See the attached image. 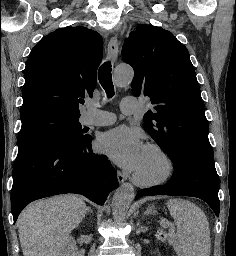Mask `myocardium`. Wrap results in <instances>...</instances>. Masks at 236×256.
Instances as JSON below:
<instances>
[{"mask_svg": "<svg viewBox=\"0 0 236 256\" xmlns=\"http://www.w3.org/2000/svg\"><path fill=\"white\" fill-rule=\"evenodd\" d=\"M115 81L119 83L117 79H115ZM121 85H125V84H121ZM146 148L156 152L161 157L163 161L164 169L159 176L151 179L144 178L140 176L137 172H134L132 174V180L136 185L141 187L152 188V187L161 186L167 183L173 177L176 169L174 160L169 154V152L158 143H153V142L148 143L146 145Z\"/></svg>", "mask_w": 236, "mask_h": 256, "instance_id": "1", "label": "myocardium"}]
</instances>
